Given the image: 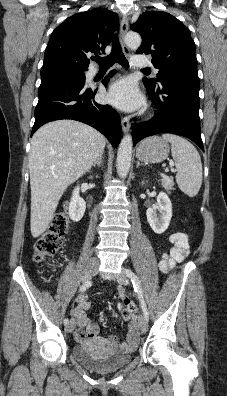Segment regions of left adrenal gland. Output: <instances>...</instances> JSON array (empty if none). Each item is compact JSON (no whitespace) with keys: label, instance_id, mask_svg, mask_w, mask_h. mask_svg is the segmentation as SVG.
I'll use <instances>...</instances> for the list:
<instances>
[{"label":"left adrenal gland","instance_id":"left-adrenal-gland-1","mask_svg":"<svg viewBox=\"0 0 227 396\" xmlns=\"http://www.w3.org/2000/svg\"><path fill=\"white\" fill-rule=\"evenodd\" d=\"M141 165H143V164H141L139 161H137L136 167L138 168V167L141 166Z\"/></svg>","mask_w":227,"mask_h":396}]
</instances>
